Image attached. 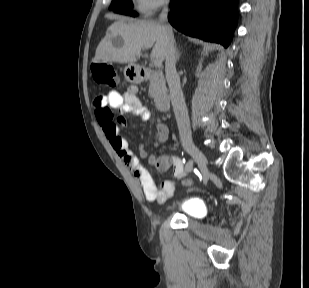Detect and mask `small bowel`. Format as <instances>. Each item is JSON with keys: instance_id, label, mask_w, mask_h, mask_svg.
Listing matches in <instances>:
<instances>
[{"instance_id": "small-bowel-1", "label": "small bowel", "mask_w": 309, "mask_h": 288, "mask_svg": "<svg viewBox=\"0 0 309 288\" xmlns=\"http://www.w3.org/2000/svg\"><path fill=\"white\" fill-rule=\"evenodd\" d=\"M137 89L129 88L124 94L117 91H110L94 101L95 114L102 129V133L110 143L112 149L121 160L132 170L135 177L140 181L142 191L149 201L164 203L173 196L175 191L174 180H165L160 186L153 181L150 173L140 161L141 158H148L158 171H166L172 168L174 178L180 179L185 175L184 167L180 159L173 154H162L160 156H148L144 148L140 147L139 156L130 149L127 140L118 133V126L113 121L112 110H119L131 114L142 121L150 118L149 110L140 102ZM168 138V128L163 122L157 125V142L159 147Z\"/></svg>"}]
</instances>
